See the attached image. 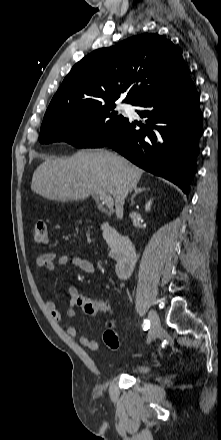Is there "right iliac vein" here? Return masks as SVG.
<instances>
[{"label": "right iliac vein", "instance_id": "63e3f726", "mask_svg": "<svg viewBox=\"0 0 221 440\" xmlns=\"http://www.w3.org/2000/svg\"><path fill=\"white\" fill-rule=\"evenodd\" d=\"M148 318H149V321L151 324V328L149 330L148 337H147V343L149 344L152 341H154L159 334L160 319H159L158 314L154 310H151L149 312Z\"/></svg>", "mask_w": 221, "mask_h": 440}]
</instances>
